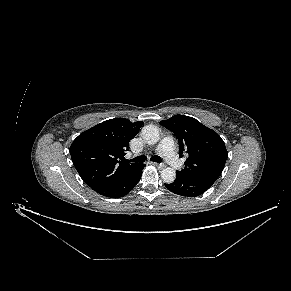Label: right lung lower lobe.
<instances>
[{"mask_svg":"<svg viewBox=\"0 0 291 291\" xmlns=\"http://www.w3.org/2000/svg\"><path fill=\"white\" fill-rule=\"evenodd\" d=\"M144 167V164H139L138 167L130 174L111 183H106L104 185L93 188V190L103 196L110 198L123 197L128 194L139 182Z\"/></svg>","mask_w":291,"mask_h":291,"instance_id":"1","label":"right lung lower lobe"}]
</instances>
